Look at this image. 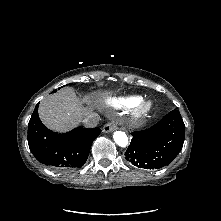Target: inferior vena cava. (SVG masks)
Listing matches in <instances>:
<instances>
[{"mask_svg":"<svg viewBox=\"0 0 221 221\" xmlns=\"http://www.w3.org/2000/svg\"><path fill=\"white\" fill-rule=\"evenodd\" d=\"M82 122L87 128L96 127L99 123V116L97 114L88 115L82 120Z\"/></svg>","mask_w":221,"mask_h":221,"instance_id":"1","label":"inferior vena cava"}]
</instances>
